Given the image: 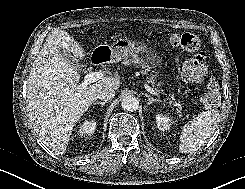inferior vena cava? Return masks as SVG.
Segmentation results:
<instances>
[{"mask_svg":"<svg viewBox=\"0 0 245 189\" xmlns=\"http://www.w3.org/2000/svg\"><path fill=\"white\" fill-rule=\"evenodd\" d=\"M115 97V91L112 88H103L99 91L97 98L103 101H110Z\"/></svg>","mask_w":245,"mask_h":189,"instance_id":"602c4592","label":"inferior vena cava"}]
</instances>
